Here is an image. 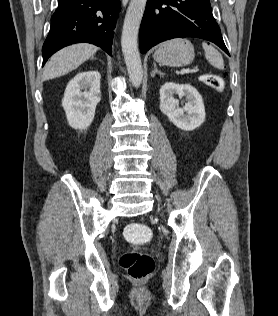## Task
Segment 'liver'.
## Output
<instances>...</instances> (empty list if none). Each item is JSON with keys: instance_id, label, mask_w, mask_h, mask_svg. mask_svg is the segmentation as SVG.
Segmentation results:
<instances>
[{"instance_id": "liver-1", "label": "liver", "mask_w": 278, "mask_h": 316, "mask_svg": "<svg viewBox=\"0 0 278 316\" xmlns=\"http://www.w3.org/2000/svg\"><path fill=\"white\" fill-rule=\"evenodd\" d=\"M98 48L88 43L68 46L55 53L46 64L43 80H50L63 76L87 61Z\"/></svg>"}]
</instances>
